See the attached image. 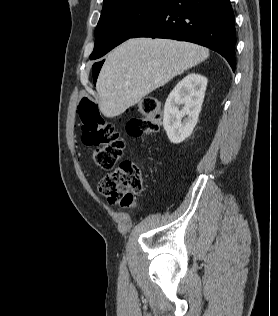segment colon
Instances as JSON below:
<instances>
[{"label":"colon","instance_id":"obj_1","mask_svg":"<svg viewBox=\"0 0 278 316\" xmlns=\"http://www.w3.org/2000/svg\"><path fill=\"white\" fill-rule=\"evenodd\" d=\"M79 118L84 144L94 147L96 165L108 171L99 183L100 193L111 203L123 208L132 207L143 191L142 170L132 162L118 164L124 149L113 123L105 120L96 104L84 99L79 104ZM141 115L126 125L131 136L151 135L158 131L161 122V106L155 97L144 98L137 108Z\"/></svg>","mask_w":278,"mask_h":316}]
</instances>
